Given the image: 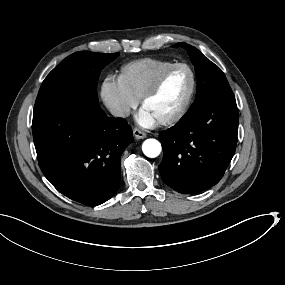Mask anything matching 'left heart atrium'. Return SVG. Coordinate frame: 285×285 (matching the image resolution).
I'll return each mask as SVG.
<instances>
[{
    "instance_id": "39dd6f15",
    "label": "left heart atrium",
    "mask_w": 285,
    "mask_h": 285,
    "mask_svg": "<svg viewBox=\"0 0 285 285\" xmlns=\"http://www.w3.org/2000/svg\"><path fill=\"white\" fill-rule=\"evenodd\" d=\"M137 121L147 127H153L158 124L159 119L151 112L141 107L136 115Z\"/></svg>"
}]
</instances>
